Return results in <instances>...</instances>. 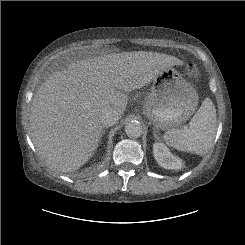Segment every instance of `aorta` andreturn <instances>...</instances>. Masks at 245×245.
Here are the masks:
<instances>
[{
	"instance_id": "obj_1",
	"label": "aorta",
	"mask_w": 245,
	"mask_h": 245,
	"mask_svg": "<svg viewBox=\"0 0 245 245\" xmlns=\"http://www.w3.org/2000/svg\"><path fill=\"white\" fill-rule=\"evenodd\" d=\"M142 132V125L138 121H131L125 126V133L129 138H139Z\"/></svg>"
}]
</instances>
